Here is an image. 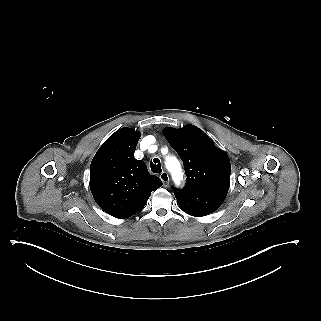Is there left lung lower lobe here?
<instances>
[{"label":"left lung lower lobe","mask_w":321,"mask_h":321,"mask_svg":"<svg viewBox=\"0 0 321 321\" xmlns=\"http://www.w3.org/2000/svg\"><path fill=\"white\" fill-rule=\"evenodd\" d=\"M228 189L217 188L201 191L177 190L174 195L185 213L202 217L216 211L224 202Z\"/></svg>","instance_id":"1"}]
</instances>
